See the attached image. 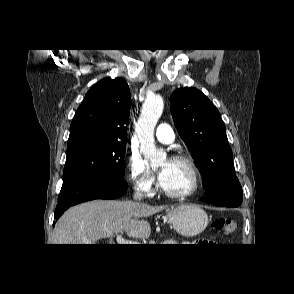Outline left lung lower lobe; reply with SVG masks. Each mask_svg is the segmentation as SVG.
<instances>
[{
    "label": "left lung lower lobe",
    "mask_w": 294,
    "mask_h": 294,
    "mask_svg": "<svg viewBox=\"0 0 294 294\" xmlns=\"http://www.w3.org/2000/svg\"><path fill=\"white\" fill-rule=\"evenodd\" d=\"M201 201L215 204L221 207H238L243 201L242 193H223L213 196H207L200 199Z\"/></svg>",
    "instance_id": "obj_1"
}]
</instances>
